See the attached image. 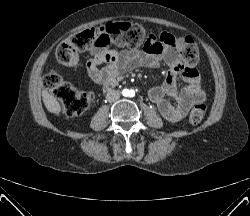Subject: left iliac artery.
<instances>
[{
  "instance_id": "obj_1",
  "label": "left iliac artery",
  "mask_w": 250,
  "mask_h": 216,
  "mask_svg": "<svg viewBox=\"0 0 250 216\" xmlns=\"http://www.w3.org/2000/svg\"><path fill=\"white\" fill-rule=\"evenodd\" d=\"M130 95H131V96H133V95H134V92H133V91H131V92H130Z\"/></svg>"
}]
</instances>
